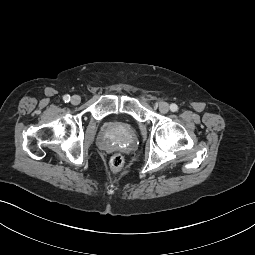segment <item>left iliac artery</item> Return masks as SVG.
Segmentation results:
<instances>
[{"mask_svg": "<svg viewBox=\"0 0 255 255\" xmlns=\"http://www.w3.org/2000/svg\"><path fill=\"white\" fill-rule=\"evenodd\" d=\"M170 110H171L172 112H176V111H178V106H177L176 104L172 103V104L170 105Z\"/></svg>", "mask_w": 255, "mask_h": 255, "instance_id": "left-iliac-artery-1", "label": "left iliac artery"}]
</instances>
